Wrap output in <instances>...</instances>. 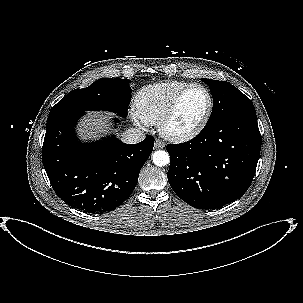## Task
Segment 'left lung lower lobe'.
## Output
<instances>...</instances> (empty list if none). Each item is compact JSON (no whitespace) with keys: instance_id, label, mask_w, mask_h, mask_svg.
Wrapping results in <instances>:
<instances>
[{"instance_id":"left-lung-lower-lobe-1","label":"left lung lower lobe","mask_w":303,"mask_h":303,"mask_svg":"<svg viewBox=\"0 0 303 303\" xmlns=\"http://www.w3.org/2000/svg\"><path fill=\"white\" fill-rule=\"evenodd\" d=\"M261 150L256 113L206 125L192 140L168 144V181L189 205L216 209L249 188Z\"/></svg>"}]
</instances>
